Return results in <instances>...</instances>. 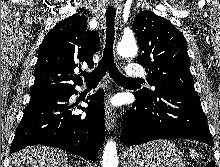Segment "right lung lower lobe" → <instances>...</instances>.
<instances>
[{"instance_id":"98d812e1","label":"right lung lower lobe","mask_w":220,"mask_h":167,"mask_svg":"<svg viewBox=\"0 0 220 167\" xmlns=\"http://www.w3.org/2000/svg\"><path fill=\"white\" fill-rule=\"evenodd\" d=\"M76 93L73 87L32 96L16 129L10 152L43 144L96 161L104 140V92L100 89L89 96L85 100L88 108L79 107L86 115L72 114L74 105L68 101Z\"/></svg>"}]
</instances>
